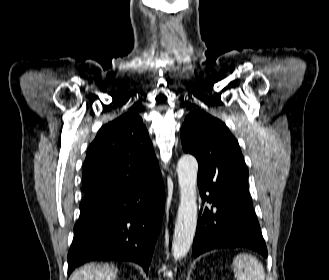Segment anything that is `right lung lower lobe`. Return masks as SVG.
Segmentation results:
<instances>
[{
  "label": "right lung lower lobe",
  "mask_w": 329,
  "mask_h": 280,
  "mask_svg": "<svg viewBox=\"0 0 329 280\" xmlns=\"http://www.w3.org/2000/svg\"><path fill=\"white\" fill-rule=\"evenodd\" d=\"M165 202L160 171L135 180H113L87 192L68 252V275L93 260L151 263Z\"/></svg>",
  "instance_id": "right-lung-lower-lobe-1"
}]
</instances>
